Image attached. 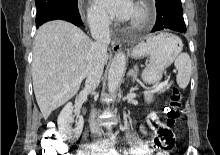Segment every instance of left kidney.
<instances>
[{
	"label": "left kidney",
	"mask_w": 220,
	"mask_h": 155,
	"mask_svg": "<svg viewBox=\"0 0 220 155\" xmlns=\"http://www.w3.org/2000/svg\"><path fill=\"white\" fill-rule=\"evenodd\" d=\"M145 101L147 103H150L152 101V95H151V93L149 91L145 92Z\"/></svg>",
	"instance_id": "1"
}]
</instances>
